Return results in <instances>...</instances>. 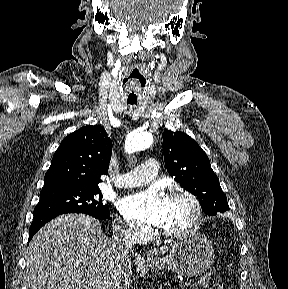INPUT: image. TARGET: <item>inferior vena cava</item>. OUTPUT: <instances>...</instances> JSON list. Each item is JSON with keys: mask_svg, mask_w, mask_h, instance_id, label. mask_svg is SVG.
Instances as JSON below:
<instances>
[{"mask_svg": "<svg viewBox=\"0 0 288 289\" xmlns=\"http://www.w3.org/2000/svg\"><path fill=\"white\" fill-rule=\"evenodd\" d=\"M133 241H134V232L127 225L118 226L115 228L111 245H112L114 257L116 258L117 261H120L126 258V256L132 250ZM97 288L98 289H114L115 286H114L113 276L99 283Z\"/></svg>", "mask_w": 288, "mask_h": 289, "instance_id": "obj_1", "label": "inferior vena cava"}]
</instances>
